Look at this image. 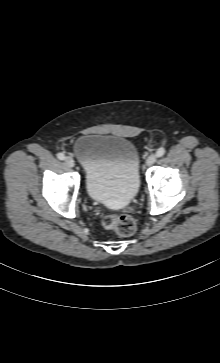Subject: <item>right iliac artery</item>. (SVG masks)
Returning a JSON list of instances; mask_svg holds the SVG:
<instances>
[{"mask_svg": "<svg viewBox=\"0 0 220 363\" xmlns=\"http://www.w3.org/2000/svg\"><path fill=\"white\" fill-rule=\"evenodd\" d=\"M57 157L60 160H64L65 159V155L63 153H61V152L57 154Z\"/></svg>", "mask_w": 220, "mask_h": 363, "instance_id": "82829eb1", "label": "right iliac artery"}]
</instances>
